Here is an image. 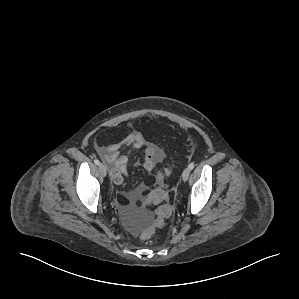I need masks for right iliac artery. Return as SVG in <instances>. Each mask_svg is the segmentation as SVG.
I'll return each instance as SVG.
<instances>
[{"label": "right iliac artery", "mask_w": 299, "mask_h": 299, "mask_svg": "<svg viewBox=\"0 0 299 299\" xmlns=\"http://www.w3.org/2000/svg\"><path fill=\"white\" fill-rule=\"evenodd\" d=\"M94 163H95L96 165H99V164H100V161H99L98 159H95V160H94Z\"/></svg>", "instance_id": "obj_1"}]
</instances>
